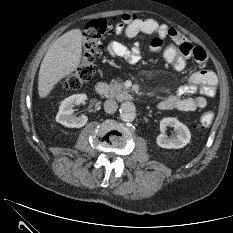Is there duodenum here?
<instances>
[{"mask_svg": "<svg viewBox=\"0 0 233 233\" xmlns=\"http://www.w3.org/2000/svg\"><path fill=\"white\" fill-rule=\"evenodd\" d=\"M95 91L99 96L105 97V98H108L112 95V91H111L110 87L108 86V84H106L104 82H98L95 85ZM122 97L124 100H132V96L127 92H124L122 94Z\"/></svg>", "mask_w": 233, "mask_h": 233, "instance_id": "obj_1", "label": "duodenum"}]
</instances>
